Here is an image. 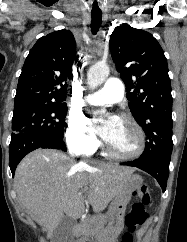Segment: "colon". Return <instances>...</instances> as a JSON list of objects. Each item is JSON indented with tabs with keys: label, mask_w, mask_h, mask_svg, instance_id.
Segmentation results:
<instances>
[{
	"label": "colon",
	"mask_w": 187,
	"mask_h": 242,
	"mask_svg": "<svg viewBox=\"0 0 187 242\" xmlns=\"http://www.w3.org/2000/svg\"><path fill=\"white\" fill-rule=\"evenodd\" d=\"M137 201L133 204L132 209L126 215L125 223L128 232L123 236L122 242H133L132 233L141 227L148 218L146 206L150 202V189L147 185H142L135 192Z\"/></svg>",
	"instance_id": "1"
}]
</instances>
